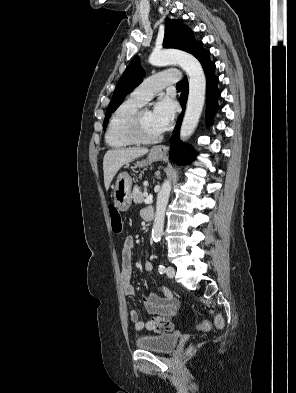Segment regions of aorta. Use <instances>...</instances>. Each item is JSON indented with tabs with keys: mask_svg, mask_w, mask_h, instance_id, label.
<instances>
[{
	"mask_svg": "<svg viewBox=\"0 0 296 393\" xmlns=\"http://www.w3.org/2000/svg\"><path fill=\"white\" fill-rule=\"evenodd\" d=\"M149 63L154 66L179 64L189 77V94L185 116L180 129L181 140H186L196 129L205 102L206 77L200 62L191 54L178 50L153 52ZM171 192L170 180H165L157 195L156 214L152 229V239L159 241L164 228L165 211Z\"/></svg>",
	"mask_w": 296,
	"mask_h": 393,
	"instance_id": "aorta-1",
	"label": "aorta"
}]
</instances>
